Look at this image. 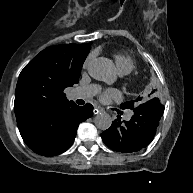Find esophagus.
Segmentation results:
<instances>
[{
  "instance_id": "obj_1",
  "label": "esophagus",
  "mask_w": 193,
  "mask_h": 193,
  "mask_svg": "<svg viewBox=\"0 0 193 193\" xmlns=\"http://www.w3.org/2000/svg\"><path fill=\"white\" fill-rule=\"evenodd\" d=\"M100 111H101L100 108L95 107L94 110H93V113H94L95 115H97Z\"/></svg>"
}]
</instances>
